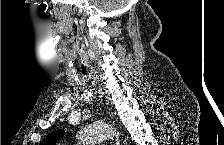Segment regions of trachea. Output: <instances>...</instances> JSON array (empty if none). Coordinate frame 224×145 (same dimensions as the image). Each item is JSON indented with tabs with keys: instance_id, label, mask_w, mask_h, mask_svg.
Segmentation results:
<instances>
[{
	"instance_id": "3493384b",
	"label": "trachea",
	"mask_w": 224,
	"mask_h": 145,
	"mask_svg": "<svg viewBox=\"0 0 224 145\" xmlns=\"http://www.w3.org/2000/svg\"><path fill=\"white\" fill-rule=\"evenodd\" d=\"M81 72L84 76L86 75V68L83 66V64H82Z\"/></svg>"
}]
</instances>
